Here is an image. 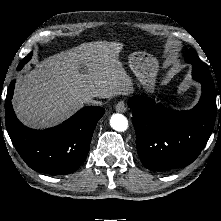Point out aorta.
<instances>
[{
	"mask_svg": "<svg viewBox=\"0 0 221 221\" xmlns=\"http://www.w3.org/2000/svg\"><path fill=\"white\" fill-rule=\"evenodd\" d=\"M110 126L116 131L123 132L128 128V120L124 115L116 113L110 118Z\"/></svg>",
	"mask_w": 221,
	"mask_h": 221,
	"instance_id": "aorta-1",
	"label": "aorta"
}]
</instances>
